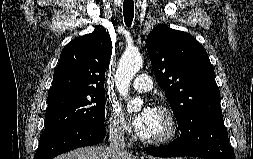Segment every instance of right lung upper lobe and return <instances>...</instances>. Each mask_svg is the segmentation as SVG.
<instances>
[{
    "label": "right lung upper lobe",
    "mask_w": 253,
    "mask_h": 159,
    "mask_svg": "<svg viewBox=\"0 0 253 159\" xmlns=\"http://www.w3.org/2000/svg\"><path fill=\"white\" fill-rule=\"evenodd\" d=\"M111 53V38L103 28L72 40L61 52L48 98L104 90Z\"/></svg>",
    "instance_id": "1"
}]
</instances>
